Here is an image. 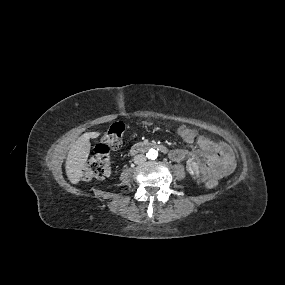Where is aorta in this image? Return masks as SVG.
Segmentation results:
<instances>
[{
	"instance_id": "1",
	"label": "aorta",
	"mask_w": 285,
	"mask_h": 285,
	"mask_svg": "<svg viewBox=\"0 0 285 285\" xmlns=\"http://www.w3.org/2000/svg\"><path fill=\"white\" fill-rule=\"evenodd\" d=\"M146 155L148 159L154 160L158 157V151L155 149H150Z\"/></svg>"
}]
</instances>
